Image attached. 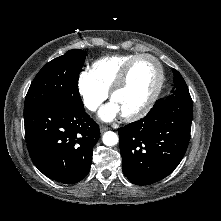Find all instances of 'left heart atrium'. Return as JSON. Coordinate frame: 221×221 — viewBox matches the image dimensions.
<instances>
[{
	"instance_id": "39dd6f15",
	"label": "left heart atrium",
	"mask_w": 221,
	"mask_h": 221,
	"mask_svg": "<svg viewBox=\"0 0 221 221\" xmlns=\"http://www.w3.org/2000/svg\"><path fill=\"white\" fill-rule=\"evenodd\" d=\"M120 114L118 106L111 101L100 110L99 117L101 120L109 122L114 120Z\"/></svg>"
}]
</instances>
